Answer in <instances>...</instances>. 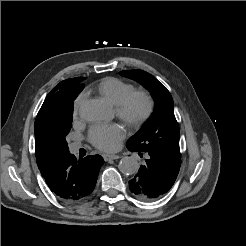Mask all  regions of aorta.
<instances>
[{"mask_svg": "<svg viewBox=\"0 0 246 246\" xmlns=\"http://www.w3.org/2000/svg\"><path fill=\"white\" fill-rule=\"evenodd\" d=\"M80 116L86 121H98L104 114V107L98 99H89L80 106ZM139 169L138 161L131 156H125L120 160L119 170L125 175H132Z\"/></svg>", "mask_w": 246, "mask_h": 246, "instance_id": "762f6f07", "label": "aorta"}]
</instances>
